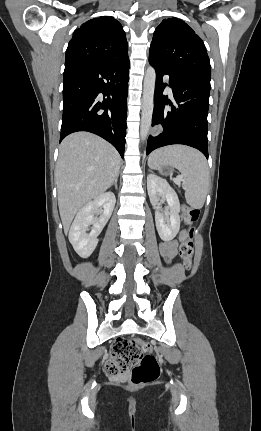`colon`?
<instances>
[{
  "mask_svg": "<svg viewBox=\"0 0 261 431\" xmlns=\"http://www.w3.org/2000/svg\"><path fill=\"white\" fill-rule=\"evenodd\" d=\"M186 228L179 247V256L186 270L192 268L194 254V236L196 229L193 224L199 218V211L183 206ZM148 343L129 338L118 339L112 347L111 359L106 363L105 370L109 376L117 377L130 372V383L141 386L155 381L160 374L156 358L150 353Z\"/></svg>",
  "mask_w": 261,
  "mask_h": 431,
  "instance_id": "obj_1",
  "label": "colon"
}]
</instances>
